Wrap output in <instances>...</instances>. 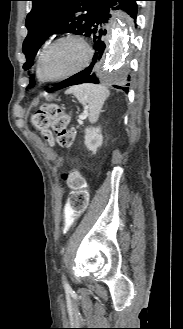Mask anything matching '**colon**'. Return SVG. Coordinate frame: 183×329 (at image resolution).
I'll list each match as a JSON object with an SVG mask.
<instances>
[{
  "mask_svg": "<svg viewBox=\"0 0 183 329\" xmlns=\"http://www.w3.org/2000/svg\"><path fill=\"white\" fill-rule=\"evenodd\" d=\"M31 122L40 132L43 139L53 144L56 140L62 148H70L75 138V131L69 126L70 116L60 106L46 103L40 106L32 115ZM62 179L71 189L67 206H63L61 220L65 221L63 233L72 227L76 217H83L89 194L83 177L77 171H70L62 175Z\"/></svg>",
  "mask_w": 183,
  "mask_h": 329,
  "instance_id": "obj_1",
  "label": "colon"
}]
</instances>
